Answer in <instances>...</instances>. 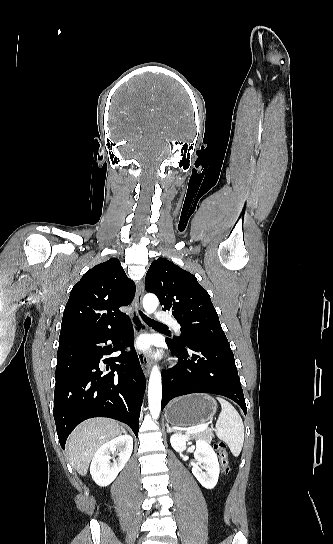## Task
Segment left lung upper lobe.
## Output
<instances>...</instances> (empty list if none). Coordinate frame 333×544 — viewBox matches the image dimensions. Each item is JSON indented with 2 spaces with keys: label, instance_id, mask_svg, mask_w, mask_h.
Listing matches in <instances>:
<instances>
[{
  "label": "left lung upper lobe",
  "instance_id": "1",
  "mask_svg": "<svg viewBox=\"0 0 333 544\" xmlns=\"http://www.w3.org/2000/svg\"><path fill=\"white\" fill-rule=\"evenodd\" d=\"M148 292L157 295L162 309L172 310L181 335L172 340L185 345L200 339L228 342L208 292L197 278L165 258L153 261L145 278Z\"/></svg>",
  "mask_w": 333,
  "mask_h": 544
}]
</instances>
